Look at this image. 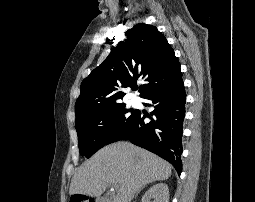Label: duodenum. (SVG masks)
Returning a JSON list of instances; mask_svg holds the SVG:
<instances>
[{
    "mask_svg": "<svg viewBox=\"0 0 255 202\" xmlns=\"http://www.w3.org/2000/svg\"><path fill=\"white\" fill-rule=\"evenodd\" d=\"M92 202H105L102 198H96L94 200H92Z\"/></svg>",
    "mask_w": 255,
    "mask_h": 202,
    "instance_id": "obj_1",
    "label": "duodenum"
}]
</instances>
